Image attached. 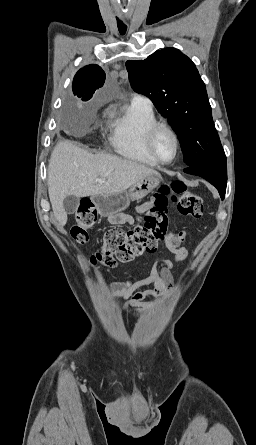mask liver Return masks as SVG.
<instances>
[{
  "instance_id": "6515ba94",
  "label": "liver",
  "mask_w": 256,
  "mask_h": 445,
  "mask_svg": "<svg viewBox=\"0 0 256 445\" xmlns=\"http://www.w3.org/2000/svg\"><path fill=\"white\" fill-rule=\"evenodd\" d=\"M159 173L142 164L109 154H91L68 141L58 143L48 165V193L61 226L67 222L63 200L69 195H112L125 192L140 180ZM105 180L97 182L96 179Z\"/></svg>"
}]
</instances>
